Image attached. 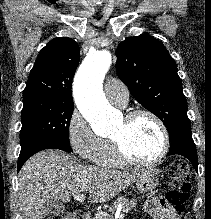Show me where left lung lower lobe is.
Wrapping results in <instances>:
<instances>
[{
	"instance_id": "left-lung-lower-lobe-1",
	"label": "left lung lower lobe",
	"mask_w": 211,
	"mask_h": 219,
	"mask_svg": "<svg viewBox=\"0 0 211 219\" xmlns=\"http://www.w3.org/2000/svg\"><path fill=\"white\" fill-rule=\"evenodd\" d=\"M171 146L167 156L182 155L190 160L195 170L198 172V159L195 143L192 139L191 128L177 131L170 138Z\"/></svg>"
}]
</instances>
